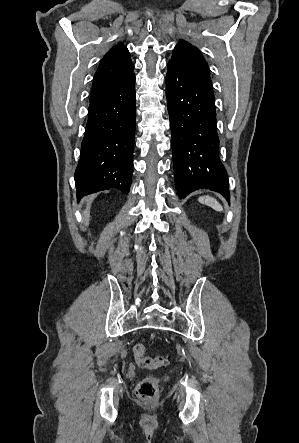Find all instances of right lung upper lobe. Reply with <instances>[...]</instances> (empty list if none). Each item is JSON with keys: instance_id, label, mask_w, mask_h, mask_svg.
Here are the masks:
<instances>
[{"instance_id": "right-lung-upper-lobe-1", "label": "right lung upper lobe", "mask_w": 299, "mask_h": 443, "mask_svg": "<svg viewBox=\"0 0 299 443\" xmlns=\"http://www.w3.org/2000/svg\"><path fill=\"white\" fill-rule=\"evenodd\" d=\"M133 69L129 51L123 44L111 48L95 73L90 101L126 80L133 74Z\"/></svg>"}]
</instances>
